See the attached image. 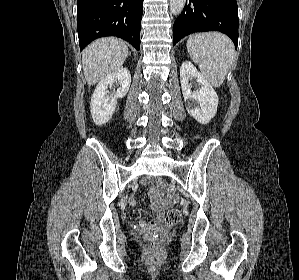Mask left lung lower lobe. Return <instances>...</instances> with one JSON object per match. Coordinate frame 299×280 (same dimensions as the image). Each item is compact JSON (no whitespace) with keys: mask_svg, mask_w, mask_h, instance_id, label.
<instances>
[{"mask_svg":"<svg viewBox=\"0 0 299 280\" xmlns=\"http://www.w3.org/2000/svg\"><path fill=\"white\" fill-rule=\"evenodd\" d=\"M220 31L238 44L236 0H186L173 26V45L194 32Z\"/></svg>","mask_w":299,"mask_h":280,"instance_id":"left-lung-lower-lobe-1","label":"left lung lower lobe"}]
</instances>
